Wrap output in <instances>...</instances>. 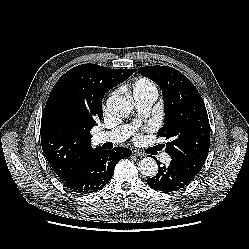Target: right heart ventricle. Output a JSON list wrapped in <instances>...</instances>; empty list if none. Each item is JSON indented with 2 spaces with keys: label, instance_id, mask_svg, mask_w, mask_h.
Here are the masks:
<instances>
[{
  "label": "right heart ventricle",
  "instance_id": "e07e8e85",
  "mask_svg": "<svg viewBox=\"0 0 249 249\" xmlns=\"http://www.w3.org/2000/svg\"><path fill=\"white\" fill-rule=\"evenodd\" d=\"M134 94L141 93L149 90H157L156 85L153 81L146 77H138L133 81Z\"/></svg>",
  "mask_w": 249,
  "mask_h": 249
}]
</instances>
